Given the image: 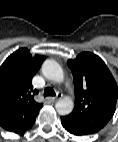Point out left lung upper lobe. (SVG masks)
<instances>
[{
    "label": "left lung upper lobe",
    "instance_id": "left-lung-upper-lobe-1",
    "mask_svg": "<svg viewBox=\"0 0 118 142\" xmlns=\"http://www.w3.org/2000/svg\"><path fill=\"white\" fill-rule=\"evenodd\" d=\"M76 91L75 107L65 116L90 134L100 131L112 118L118 87L103 60L89 52L68 60Z\"/></svg>",
    "mask_w": 118,
    "mask_h": 142
}]
</instances>
